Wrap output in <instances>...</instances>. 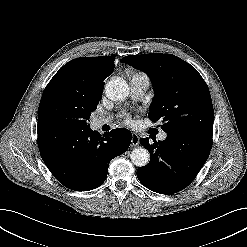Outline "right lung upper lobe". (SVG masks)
<instances>
[{
    "label": "right lung upper lobe",
    "mask_w": 247,
    "mask_h": 247,
    "mask_svg": "<svg viewBox=\"0 0 247 247\" xmlns=\"http://www.w3.org/2000/svg\"><path fill=\"white\" fill-rule=\"evenodd\" d=\"M112 56H99L90 58H77L73 61L78 63L83 77L96 89L102 92L104 79H106L114 69Z\"/></svg>",
    "instance_id": "right-lung-upper-lobe-1"
}]
</instances>
